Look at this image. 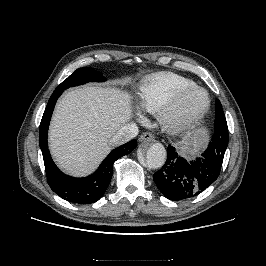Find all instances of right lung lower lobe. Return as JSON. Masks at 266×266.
I'll return each instance as SVG.
<instances>
[{
	"instance_id": "1",
	"label": "right lung lower lobe",
	"mask_w": 266,
	"mask_h": 266,
	"mask_svg": "<svg viewBox=\"0 0 266 266\" xmlns=\"http://www.w3.org/2000/svg\"><path fill=\"white\" fill-rule=\"evenodd\" d=\"M62 89H55L44 111L40 129L39 143L42 150L47 182L51 189L61 198L77 203L90 204L98 201L105 193L113 173V164L120 157L129 154L137 146L136 140L114 149L92 175L85 178H73L63 174L52 161L47 144L48 126L52 112Z\"/></svg>"
}]
</instances>
